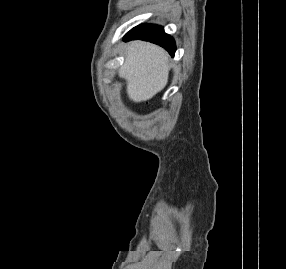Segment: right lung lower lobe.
<instances>
[{"mask_svg": "<svg viewBox=\"0 0 286 269\" xmlns=\"http://www.w3.org/2000/svg\"><path fill=\"white\" fill-rule=\"evenodd\" d=\"M141 39L150 41L164 47L170 55L174 56L176 46L174 39L166 34L161 26L142 24L129 31L124 40Z\"/></svg>", "mask_w": 286, "mask_h": 269, "instance_id": "1", "label": "right lung lower lobe"}]
</instances>
